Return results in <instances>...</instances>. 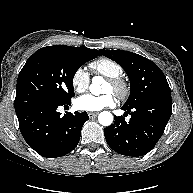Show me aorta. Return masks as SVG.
<instances>
[{
    "label": "aorta",
    "instance_id": "aorta-1",
    "mask_svg": "<svg viewBox=\"0 0 193 193\" xmlns=\"http://www.w3.org/2000/svg\"><path fill=\"white\" fill-rule=\"evenodd\" d=\"M104 79L101 76H95L92 79V84L89 89L93 95H99L101 93V85L104 83ZM98 121L103 126H110L113 123V115L108 111H103L98 116Z\"/></svg>",
    "mask_w": 193,
    "mask_h": 193
}]
</instances>
